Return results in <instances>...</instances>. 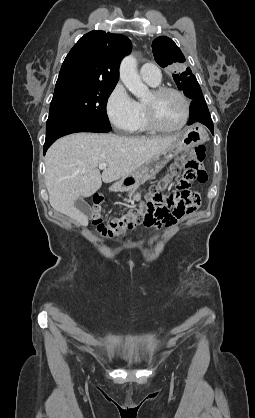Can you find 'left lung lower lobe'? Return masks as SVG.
<instances>
[{
  "instance_id": "1",
  "label": "left lung lower lobe",
  "mask_w": 255,
  "mask_h": 418,
  "mask_svg": "<svg viewBox=\"0 0 255 418\" xmlns=\"http://www.w3.org/2000/svg\"><path fill=\"white\" fill-rule=\"evenodd\" d=\"M200 122L207 126L213 134V122L204 98L194 99L190 105V120L188 125Z\"/></svg>"
}]
</instances>
